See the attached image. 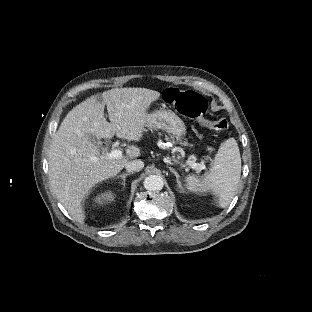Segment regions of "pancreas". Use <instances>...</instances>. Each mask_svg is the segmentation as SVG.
<instances>
[{"mask_svg":"<svg viewBox=\"0 0 312 312\" xmlns=\"http://www.w3.org/2000/svg\"><path fill=\"white\" fill-rule=\"evenodd\" d=\"M182 144H183L184 146H188V145H189V143H188L187 141L182 142Z\"/></svg>","mask_w":312,"mask_h":312,"instance_id":"obj_1","label":"pancreas"}]
</instances>
